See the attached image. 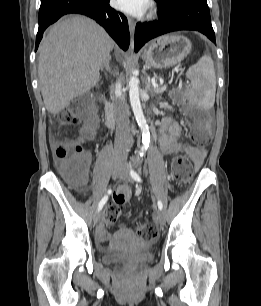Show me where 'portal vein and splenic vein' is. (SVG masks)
I'll use <instances>...</instances> for the list:
<instances>
[{"instance_id":"1","label":"portal vein and splenic vein","mask_w":261,"mask_h":306,"mask_svg":"<svg viewBox=\"0 0 261 306\" xmlns=\"http://www.w3.org/2000/svg\"><path fill=\"white\" fill-rule=\"evenodd\" d=\"M152 85L154 86V87H158V85L156 84V82H155V80H152Z\"/></svg>"}]
</instances>
